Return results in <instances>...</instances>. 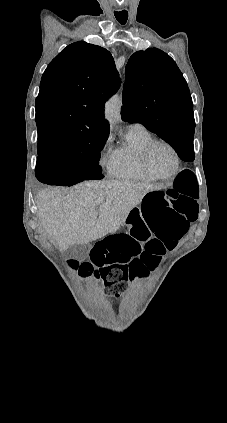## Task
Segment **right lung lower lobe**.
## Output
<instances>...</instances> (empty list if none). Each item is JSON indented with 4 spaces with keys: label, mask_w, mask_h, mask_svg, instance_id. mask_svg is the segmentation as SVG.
<instances>
[{
    "label": "right lung lower lobe",
    "mask_w": 227,
    "mask_h": 423,
    "mask_svg": "<svg viewBox=\"0 0 227 423\" xmlns=\"http://www.w3.org/2000/svg\"><path fill=\"white\" fill-rule=\"evenodd\" d=\"M35 175L40 182L48 185L71 186L83 181L55 162L46 160L37 161Z\"/></svg>",
    "instance_id": "right-lung-lower-lobe-1"
}]
</instances>
